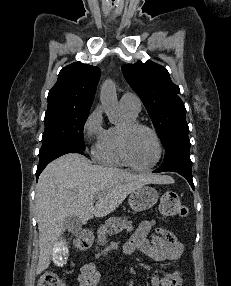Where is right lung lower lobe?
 I'll list each match as a JSON object with an SVG mask.
<instances>
[{
	"label": "right lung lower lobe",
	"mask_w": 231,
	"mask_h": 286,
	"mask_svg": "<svg viewBox=\"0 0 231 286\" xmlns=\"http://www.w3.org/2000/svg\"><path fill=\"white\" fill-rule=\"evenodd\" d=\"M82 149H79L77 147L74 146H65V147H59L56 149H53L47 153H45L42 156H39V165L36 171V178L38 179L40 173L43 171V169L46 167V165L48 163H50L51 161H53L54 159L67 154V153H72V152H76V153H80L83 154Z\"/></svg>",
	"instance_id": "obj_1"
}]
</instances>
